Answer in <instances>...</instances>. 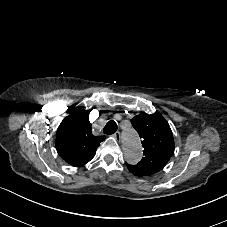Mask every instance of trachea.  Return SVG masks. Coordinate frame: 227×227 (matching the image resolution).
Wrapping results in <instances>:
<instances>
[{"mask_svg":"<svg viewBox=\"0 0 227 227\" xmlns=\"http://www.w3.org/2000/svg\"><path fill=\"white\" fill-rule=\"evenodd\" d=\"M117 123L114 121V120H110L109 122H107V124L105 125L104 129H103V132L106 134V135H111L113 133L116 132L117 130Z\"/></svg>","mask_w":227,"mask_h":227,"instance_id":"3493384b","label":"trachea"}]
</instances>
